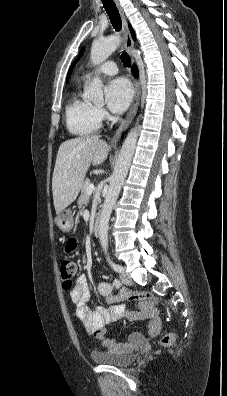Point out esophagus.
<instances>
[{
    "mask_svg": "<svg viewBox=\"0 0 227 396\" xmlns=\"http://www.w3.org/2000/svg\"><path fill=\"white\" fill-rule=\"evenodd\" d=\"M116 7L121 15V19H122V31H123V36H124V41H125V49L127 50V52H130L131 49L133 48V39L131 37V33L128 27V22L126 20V17L124 15V12L118 2V0H114ZM140 96H141V87L139 82L136 80L135 81V94H134V99L132 102V105L125 117V119L122 120L119 128L117 129L116 133L114 134L113 138H112V142L116 143L119 139V136L121 134L122 131H124L128 125L130 124V122L132 121V119L134 118V116L137 113L138 107H139V101H140Z\"/></svg>",
    "mask_w": 227,
    "mask_h": 396,
    "instance_id": "esophagus-1",
    "label": "esophagus"
}]
</instances>
